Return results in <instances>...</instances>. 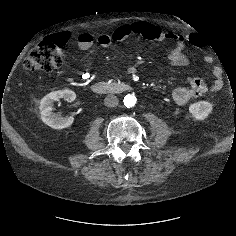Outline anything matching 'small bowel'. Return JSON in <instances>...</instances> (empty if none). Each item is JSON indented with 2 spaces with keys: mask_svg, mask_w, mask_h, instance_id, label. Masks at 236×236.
Listing matches in <instances>:
<instances>
[{
  "mask_svg": "<svg viewBox=\"0 0 236 236\" xmlns=\"http://www.w3.org/2000/svg\"><path fill=\"white\" fill-rule=\"evenodd\" d=\"M130 35H138L151 40L163 41L168 40L174 42V47L168 53V61L174 66H185L189 63V58L185 54L184 49L189 41L193 44L199 42L197 35L190 34L188 36L178 35L171 32H164L160 27L143 21L130 24H123L117 27L111 34H102L95 37L90 32H83L78 35V47L81 50L90 49L97 41L99 48H106L112 42H118ZM61 41L66 42L70 39L69 32H60L56 35ZM209 61V60H207ZM214 81L208 86L203 80L197 77L188 79V86H179L173 89L172 98L176 105H185L192 99L199 98L208 90L211 92H219L223 87L222 71L219 68L213 70Z\"/></svg>",
  "mask_w": 236,
  "mask_h": 236,
  "instance_id": "c3829d8e",
  "label": "small bowel"
}]
</instances>
